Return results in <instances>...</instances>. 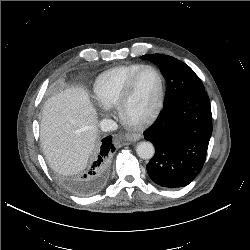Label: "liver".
I'll use <instances>...</instances> for the list:
<instances>
[{
  "mask_svg": "<svg viewBox=\"0 0 250 250\" xmlns=\"http://www.w3.org/2000/svg\"><path fill=\"white\" fill-rule=\"evenodd\" d=\"M97 116L89 94L67 88L44 104L40 140L50 167L59 174L83 170L97 139Z\"/></svg>",
  "mask_w": 250,
  "mask_h": 250,
  "instance_id": "1",
  "label": "liver"
}]
</instances>
